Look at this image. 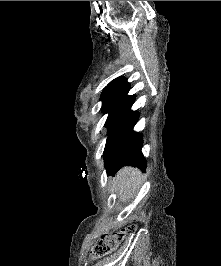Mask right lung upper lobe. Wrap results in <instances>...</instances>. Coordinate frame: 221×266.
Masks as SVG:
<instances>
[{
  "label": "right lung upper lobe",
  "instance_id": "obj_1",
  "mask_svg": "<svg viewBox=\"0 0 221 266\" xmlns=\"http://www.w3.org/2000/svg\"><path fill=\"white\" fill-rule=\"evenodd\" d=\"M120 87H130V84L127 82V79L125 77H118L114 79L105 87L104 90L120 88Z\"/></svg>",
  "mask_w": 221,
  "mask_h": 266
}]
</instances>
